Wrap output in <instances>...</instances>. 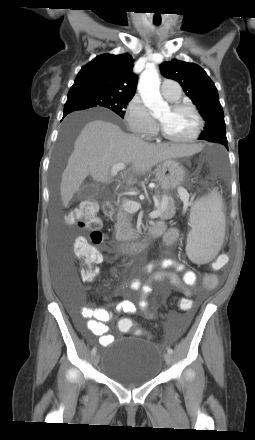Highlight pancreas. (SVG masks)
Instances as JSON below:
<instances>
[{"mask_svg":"<svg viewBox=\"0 0 255 440\" xmlns=\"http://www.w3.org/2000/svg\"><path fill=\"white\" fill-rule=\"evenodd\" d=\"M161 214L160 219H171L176 213L175 201L172 197L166 194L161 195L159 200V207ZM132 215L127 212L123 206H120L117 215L115 227V237L118 241L128 242L138 237L137 231L132 228Z\"/></svg>","mask_w":255,"mask_h":440,"instance_id":"1","label":"pancreas"}]
</instances>
